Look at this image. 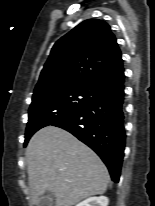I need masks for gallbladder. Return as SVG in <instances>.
<instances>
[{
	"label": "gallbladder",
	"mask_w": 155,
	"mask_h": 206,
	"mask_svg": "<svg viewBox=\"0 0 155 206\" xmlns=\"http://www.w3.org/2000/svg\"><path fill=\"white\" fill-rule=\"evenodd\" d=\"M53 203H54V199L52 195L46 192L40 197V200L37 203V206H53Z\"/></svg>",
	"instance_id": "obj_1"
}]
</instances>
